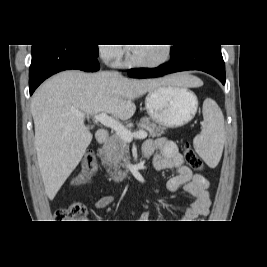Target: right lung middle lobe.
I'll list each match as a JSON object with an SVG mask.
<instances>
[{
	"label": "right lung middle lobe",
	"instance_id": "1",
	"mask_svg": "<svg viewBox=\"0 0 267 267\" xmlns=\"http://www.w3.org/2000/svg\"><path fill=\"white\" fill-rule=\"evenodd\" d=\"M89 51L93 52L96 56H98V46L97 45H83Z\"/></svg>",
	"mask_w": 267,
	"mask_h": 267
}]
</instances>
